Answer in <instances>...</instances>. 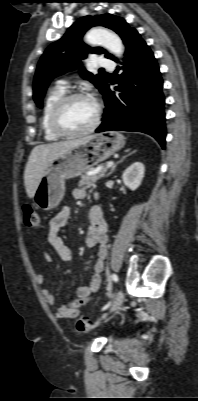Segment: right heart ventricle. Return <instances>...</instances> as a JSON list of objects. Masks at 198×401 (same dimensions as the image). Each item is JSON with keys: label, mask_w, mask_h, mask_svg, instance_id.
Masks as SVG:
<instances>
[{"label": "right heart ventricle", "mask_w": 198, "mask_h": 401, "mask_svg": "<svg viewBox=\"0 0 198 401\" xmlns=\"http://www.w3.org/2000/svg\"><path fill=\"white\" fill-rule=\"evenodd\" d=\"M65 93H66V91L63 87H55L49 91V93L47 94V96L45 98L42 115H41L40 126H41V130H42L44 138L48 141H55L60 138V136L57 135L51 128L50 114H51L52 108L55 105V103L63 95H65Z\"/></svg>", "instance_id": "e07e8e85"}]
</instances>
